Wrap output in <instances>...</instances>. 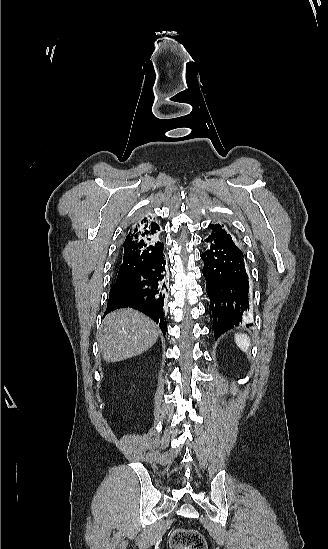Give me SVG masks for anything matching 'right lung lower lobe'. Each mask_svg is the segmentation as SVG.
I'll list each match as a JSON object with an SVG mask.
<instances>
[{
    "label": "right lung lower lobe",
    "mask_w": 328,
    "mask_h": 549,
    "mask_svg": "<svg viewBox=\"0 0 328 549\" xmlns=\"http://www.w3.org/2000/svg\"><path fill=\"white\" fill-rule=\"evenodd\" d=\"M165 265L162 251L132 275L117 279L110 290L105 314L126 307L136 309L159 324L165 335L167 332L163 313L166 290Z\"/></svg>",
    "instance_id": "obj_1"
}]
</instances>
